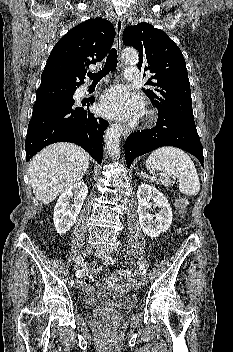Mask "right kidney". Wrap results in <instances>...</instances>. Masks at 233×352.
<instances>
[{
    "label": "right kidney",
    "instance_id": "right-kidney-1",
    "mask_svg": "<svg viewBox=\"0 0 233 352\" xmlns=\"http://www.w3.org/2000/svg\"><path fill=\"white\" fill-rule=\"evenodd\" d=\"M87 193V185L84 182H78L61 194L54 207L53 215L57 233L63 234L70 230L76 222Z\"/></svg>",
    "mask_w": 233,
    "mask_h": 352
}]
</instances>
